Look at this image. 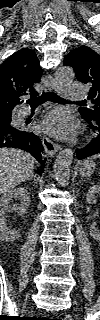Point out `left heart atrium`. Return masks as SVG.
<instances>
[{"mask_svg":"<svg viewBox=\"0 0 100 320\" xmlns=\"http://www.w3.org/2000/svg\"><path fill=\"white\" fill-rule=\"evenodd\" d=\"M41 129L61 139H72L77 133V125L70 114L64 110H55L47 115Z\"/></svg>","mask_w":100,"mask_h":320,"instance_id":"obj_1","label":"left heart atrium"}]
</instances>
